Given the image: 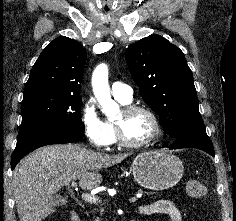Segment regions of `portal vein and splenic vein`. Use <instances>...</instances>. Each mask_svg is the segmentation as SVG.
<instances>
[{"instance_id": "1", "label": "portal vein and splenic vein", "mask_w": 236, "mask_h": 221, "mask_svg": "<svg viewBox=\"0 0 236 221\" xmlns=\"http://www.w3.org/2000/svg\"><path fill=\"white\" fill-rule=\"evenodd\" d=\"M71 186L76 187L77 186L76 182H72ZM81 197L84 201L89 202V203L97 204V203L100 202V199H99L98 196L91 195L89 193H82ZM128 200H129V202H136L138 200V198L137 197H131Z\"/></svg>"}]
</instances>
